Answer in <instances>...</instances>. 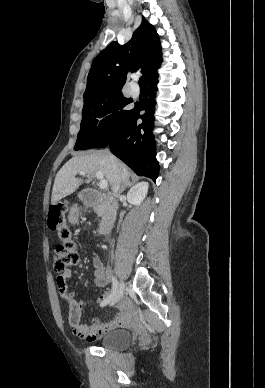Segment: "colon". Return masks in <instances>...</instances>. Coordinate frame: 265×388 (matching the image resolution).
Returning <instances> with one entry per match:
<instances>
[{"instance_id":"5ec220e1","label":"colon","mask_w":265,"mask_h":388,"mask_svg":"<svg viewBox=\"0 0 265 388\" xmlns=\"http://www.w3.org/2000/svg\"><path fill=\"white\" fill-rule=\"evenodd\" d=\"M66 210V203L61 201L51 206L48 216L49 227L57 232L61 240V244L55 248L53 253V268L59 274L57 285L61 283V273L79 260L78 244L65 221Z\"/></svg>"}]
</instances>
